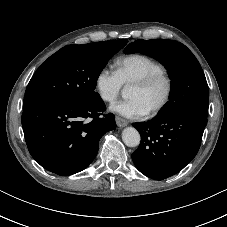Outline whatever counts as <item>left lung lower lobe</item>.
<instances>
[{"instance_id":"left-lung-lower-lobe-1","label":"left lung lower lobe","mask_w":227,"mask_h":227,"mask_svg":"<svg viewBox=\"0 0 227 227\" xmlns=\"http://www.w3.org/2000/svg\"><path fill=\"white\" fill-rule=\"evenodd\" d=\"M206 124L207 118L191 113L133 123L141 135V143L132 154L136 168L155 180L178 173L196 156Z\"/></svg>"}]
</instances>
